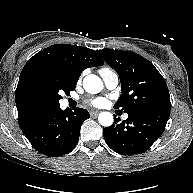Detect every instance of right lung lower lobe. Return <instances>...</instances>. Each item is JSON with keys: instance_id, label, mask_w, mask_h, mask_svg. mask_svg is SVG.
<instances>
[{"instance_id": "98d812e1", "label": "right lung lower lobe", "mask_w": 193, "mask_h": 193, "mask_svg": "<svg viewBox=\"0 0 193 193\" xmlns=\"http://www.w3.org/2000/svg\"><path fill=\"white\" fill-rule=\"evenodd\" d=\"M89 117L85 109L63 111L58 106L45 112L22 131L38 152L51 157L61 156L77 145L81 125Z\"/></svg>"}]
</instances>
